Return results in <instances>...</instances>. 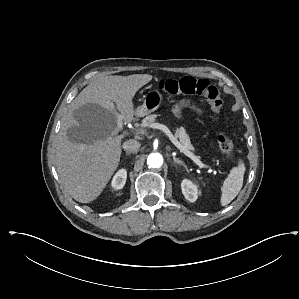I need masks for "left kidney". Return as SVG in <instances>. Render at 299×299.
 <instances>
[{
	"instance_id": "left-kidney-1",
	"label": "left kidney",
	"mask_w": 299,
	"mask_h": 299,
	"mask_svg": "<svg viewBox=\"0 0 299 299\" xmlns=\"http://www.w3.org/2000/svg\"><path fill=\"white\" fill-rule=\"evenodd\" d=\"M181 189L184 197L190 201L195 202L198 198V189L190 180L184 179L181 183Z\"/></svg>"
}]
</instances>
